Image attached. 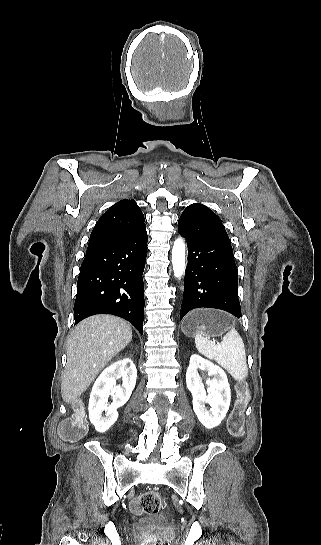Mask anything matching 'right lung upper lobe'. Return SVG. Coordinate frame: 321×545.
<instances>
[{"label":"right lung upper lobe","mask_w":321,"mask_h":545,"mask_svg":"<svg viewBox=\"0 0 321 545\" xmlns=\"http://www.w3.org/2000/svg\"><path fill=\"white\" fill-rule=\"evenodd\" d=\"M140 207L133 200H121L98 220L90 235L88 248L114 242L145 227Z\"/></svg>","instance_id":"cb5924a9"}]
</instances>
